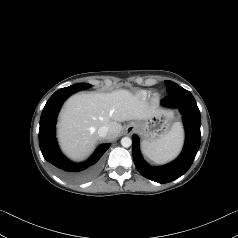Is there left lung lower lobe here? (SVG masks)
Wrapping results in <instances>:
<instances>
[{
	"label": "left lung lower lobe",
	"mask_w": 238,
	"mask_h": 238,
	"mask_svg": "<svg viewBox=\"0 0 238 238\" xmlns=\"http://www.w3.org/2000/svg\"><path fill=\"white\" fill-rule=\"evenodd\" d=\"M161 104L165 107L178 108L183 115L186 136L182 153L175 161L165 166L151 167L140 153L138 136L133 135L132 155L138 171L144 177L158 183H168L182 176L192 165L201 142V119L194 97L184 88L170 93Z\"/></svg>",
	"instance_id": "0a47b994"
}]
</instances>
